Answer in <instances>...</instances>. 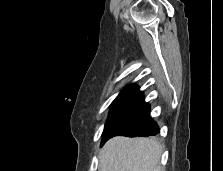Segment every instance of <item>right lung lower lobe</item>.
I'll list each match as a JSON object with an SVG mask.
<instances>
[{
    "label": "right lung lower lobe",
    "instance_id": "obj_1",
    "mask_svg": "<svg viewBox=\"0 0 223 171\" xmlns=\"http://www.w3.org/2000/svg\"><path fill=\"white\" fill-rule=\"evenodd\" d=\"M144 97L137 99L131 108L124 113L105 133L102 144L114 136H144L156 135L159 132L157 124L150 118V107Z\"/></svg>",
    "mask_w": 223,
    "mask_h": 171
}]
</instances>
